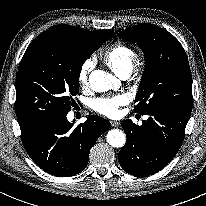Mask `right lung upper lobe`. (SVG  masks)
I'll list each match as a JSON object with an SVG mask.
<instances>
[{"mask_svg":"<svg viewBox=\"0 0 206 206\" xmlns=\"http://www.w3.org/2000/svg\"><path fill=\"white\" fill-rule=\"evenodd\" d=\"M49 29L63 31V32H66V33H69L72 35L86 38V39H93V38L100 36V35H110L111 37L116 38L115 32H113L111 30L88 31L86 29L73 27V26H69V25H65V24L55 25Z\"/></svg>","mask_w":206,"mask_h":206,"instance_id":"1","label":"right lung upper lobe"}]
</instances>
